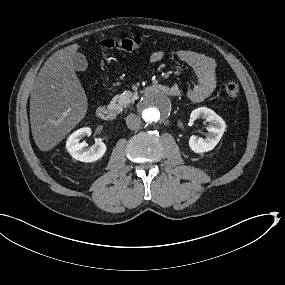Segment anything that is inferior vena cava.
Instances as JSON below:
<instances>
[{
  "instance_id": "obj_1",
  "label": "inferior vena cava",
  "mask_w": 285,
  "mask_h": 285,
  "mask_svg": "<svg viewBox=\"0 0 285 285\" xmlns=\"http://www.w3.org/2000/svg\"><path fill=\"white\" fill-rule=\"evenodd\" d=\"M126 124L130 130H136L141 125V119L138 115L130 114L126 117Z\"/></svg>"
}]
</instances>
